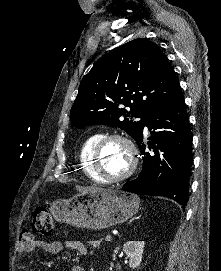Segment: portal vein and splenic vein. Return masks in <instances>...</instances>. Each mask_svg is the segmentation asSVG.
<instances>
[{
  "label": "portal vein and splenic vein",
  "mask_w": 221,
  "mask_h": 271,
  "mask_svg": "<svg viewBox=\"0 0 221 271\" xmlns=\"http://www.w3.org/2000/svg\"><path fill=\"white\" fill-rule=\"evenodd\" d=\"M112 235H104V240H106V241H110V240H112Z\"/></svg>",
  "instance_id": "1"
}]
</instances>
